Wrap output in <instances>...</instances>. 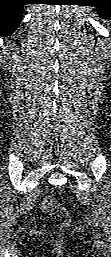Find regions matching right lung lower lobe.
Returning a JSON list of instances; mask_svg holds the SVG:
<instances>
[{"label": "right lung lower lobe", "mask_w": 111, "mask_h": 257, "mask_svg": "<svg viewBox=\"0 0 111 257\" xmlns=\"http://www.w3.org/2000/svg\"><path fill=\"white\" fill-rule=\"evenodd\" d=\"M26 0H0V35L12 34L21 22Z\"/></svg>", "instance_id": "98d812e1"}]
</instances>
